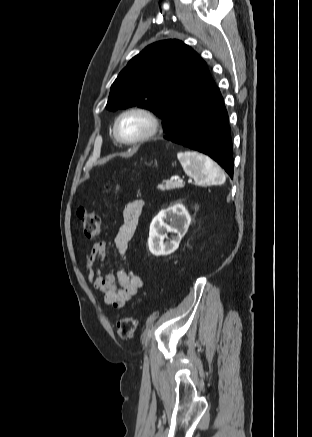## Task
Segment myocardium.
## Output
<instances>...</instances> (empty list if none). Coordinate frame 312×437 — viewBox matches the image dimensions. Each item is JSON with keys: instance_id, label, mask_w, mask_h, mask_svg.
<instances>
[{"instance_id": "myocardium-1", "label": "myocardium", "mask_w": 312, "mask_h": 437, "mask_svg": "<svg viewBox=\"0 0 312 437\" xmlns=\"http://www.w3.org/2000/svg\"><path fill=\"white\" fill-rule=\"evenodd\" d=\"M129 114L143 115L144 117H146L148 119L149 124H150L148 131L135 139H125L120 134V131H119V125H120L121 120ZM159 129H160V120L157 117V115L154 112H152L150 109L145 108V107H140V106H134V107H130V108L123 110L115 119L114 126H113V131H114L115 137L117 138V140L120 143L125 144V145H136V144L146 142L149 139L153 138L158 133Z\"/></svg>"}]
</instances>
